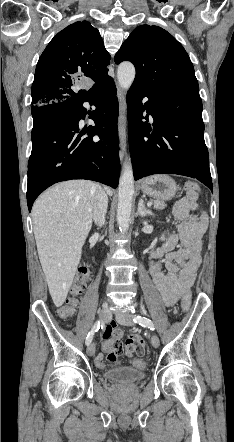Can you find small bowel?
I'll return each instance as SVG.
<instances>
[{
    "label": "small bowel",
    "instance_id": "obj_1",
    "mask_svg": "<svg viewBox=\"0 0 234 442\" xmlns=\"http://www.w3.org/2000/svg\"><path fill=\"white\" fill-rule=\"evenodd\" d=\"M179 222L177 232L171 234L160 247L150 252L152 262L149 273L156 289L162 296L166 306L172 307L190 288L196 278L201 264V239L207 229L208 217L201 209L197 196L187 194L178 201L173 210ZM181 247L175 249L177 244ZM163 258L166 273L158 262ZM123 330L115 323H110L104 333L102 350H120L123 347L121 337ZM138 335H131L126 340L125 354L134 365V354L143 357L148 350L147 345L140 341Z\"/></svg>",
    "mask_w": 234,
    "mask_h": 442
}]
</instances>
